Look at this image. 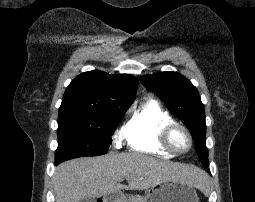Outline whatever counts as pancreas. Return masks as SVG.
<instances>
[{
    "instance_id": "obj_1",
    "label": "pancreas",
    "mask_w": 255,
    "mask_h": 202,
    "mask_svg": "<svg viewBox=\"0 0 255 202\" xmlns=\"http://www.w3.org/2000/svg\"><path fill=\"white\" fill-rule=\"evenodd\" d=\"M128 202H147V199L140 195H130L128 198Z\"/></svg>"
}]
</instances>
